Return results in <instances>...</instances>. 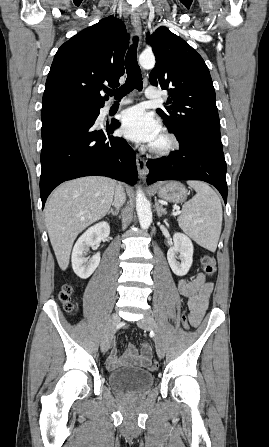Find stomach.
Returning <instances> with one entry per match:
<instances>
[{
    "label": "stomach",
    "instance_id": "1",
    "mask_svg": "<svg viewBox=\"0 0 269 447\" xmlns=\"http://www.w3.org/2000/svg\"><path fill=\"white\" fill-rule=\"evenodd\" d=\"M154 188L157 190L159 198L166 202L181 204L187 198V190L180 182H160V184H155Z\"/></svg>",
    "mask_w": 269,
    "mask_h": 447
}]
</instances>
